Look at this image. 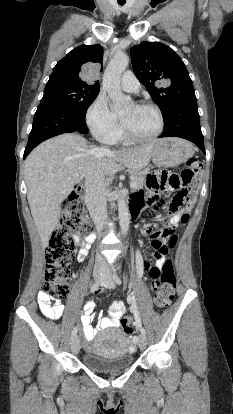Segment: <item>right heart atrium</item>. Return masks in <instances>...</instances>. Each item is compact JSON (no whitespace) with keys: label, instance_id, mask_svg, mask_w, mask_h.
I'll return each mask as SVG.
<instances>
[{"label":"right heart atrium","instance_id":"right-heart-atrium-1","mask_svg":"<svg viewBox=\"0 0 233 414\" xmlns=\"http://www.w3.org/2000/svg\"><path fill=\"white\" fill-rule=\"evenodd\" d=\"M91 133L99 140L112 143L119 127V120L104 95L99 94L88 106L85 114Z\"/></svg>","mask_w":233,"mask_h":414}]
</instances>
